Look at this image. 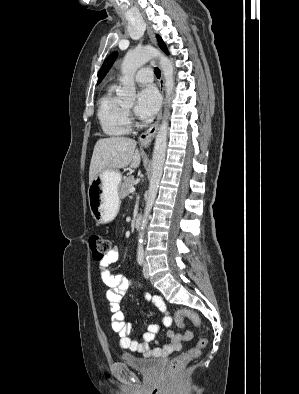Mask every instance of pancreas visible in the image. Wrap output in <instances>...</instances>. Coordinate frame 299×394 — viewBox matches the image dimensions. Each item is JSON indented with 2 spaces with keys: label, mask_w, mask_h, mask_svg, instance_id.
I'll return each instance as SVG.
<instances>
[{
  "label": "pancreas",
  "mask_w": 299,
  "mask_h": 394,
  "mask_svg": "<svg viewBox=\"0 0 299 394\" xmlns=\"http://www.w3.org/2000/svg\"><path fill=\"white\" fill-rule=\"evenodd\" d=\"M136 184L134 176L127 177L121 185L119 196L121 199L125 198L130 193V188Z\"/></svg>",
  "instance_id": "1"
}]
</instances>
